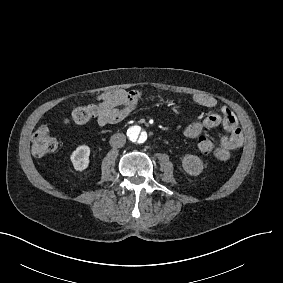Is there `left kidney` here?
Masks as SVG:
<instances>
[{"label": "left kidney", "mask_w": 283, "mask_h": 283, "mask_svg": "<svg viewBox=\"0 0 283 283\" xmlns=\"http://www.w3.org/2000/svg\"><path fill=\"white\" fill-rule=\"evenodd\" d=\"M183 168L191 175H198L203 170V162L194 155H185L183 158Z\"/></svg>", "instance_id": "5707ae66"}]
</instances>
